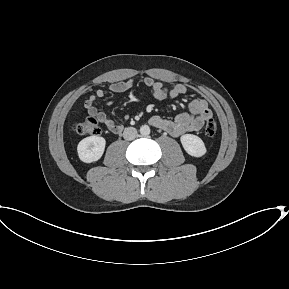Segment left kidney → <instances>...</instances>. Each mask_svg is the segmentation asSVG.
Masks as SVG:
<instances>
[{"label": "left kidney", "instance_id": "1", "mask_svg": "<svg viewBox=\"0 0 289 289\" xmlns=\"http://www.w3.org/2000/svg\"><path fill=\"white\" fill-rule=\"evenodd\" d=\"M181 143L184 150L193 157H201L206 153V147L201 138L193 134L182 135Z\"/></svg>", "mask_w": 289, "mask_h": 289}]
</instances>
